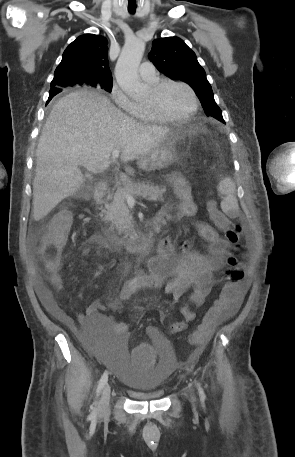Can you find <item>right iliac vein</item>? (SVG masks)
Instances as JSON below:
<instances>
[{"label":"right iliac vein","instance_id":"obj_1","mask_svg":"<svg viewBox=\"0 0 295 457\" xmlns=\"http://www.w3.org/2000/svg\"><path fill=\"white\" fill-rule=\"evenodd\" d=\"M111 397V387L108 383L105 384L98 405L99 413H106L109 410V402Z\"/></svg>","mask_w":295,"mask_h":457}]
</instances>
